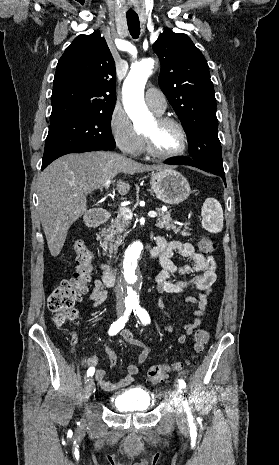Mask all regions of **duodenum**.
<instances>
[{
	"label": "duodenum",
	"mask_w": 279,
	"mask_h": 465,
	"mask_svg": "<svg viewBox=\"0 0 279 465\" xmlns=\"http://www.w3.org/2000/svg\"><path fill=\"white\" fill-rule=\"evenodd\" d=\"M109 218H110V213L107 210H99V211L90 213L86 217V223L88 226L96 227V226H99L107 222ZM150 255L152 258H156L157 251L154 248H151ZM102 279L108 287H111L115 284V275H114L113 270L109 266L105 268L102 274Z\"/></svg>",
	"instance_id": "1"
}]
</instances>
